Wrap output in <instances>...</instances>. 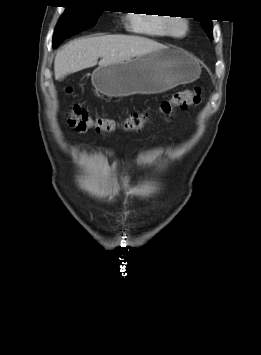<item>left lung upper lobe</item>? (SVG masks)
<instances>
[{"label":"left lung upper lobe","instance_id":"left-lung-upper-lobe-1","mask_svg":"<svg viewBox=\"0 0 261 355\" xmlns=\"http://www.w3.org/2000/svg\"><path fill=\"white\" fill-rule=\"evenodd\" d=\"M202 21V27L204 29V31L209 35V37L212 39V22L211 20H203Z\"/></svg>","mask_w":261,"mask_h":355}]
</instances>
